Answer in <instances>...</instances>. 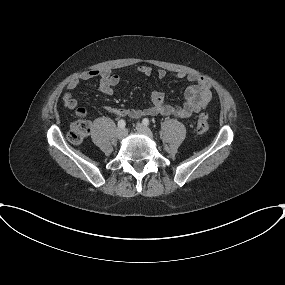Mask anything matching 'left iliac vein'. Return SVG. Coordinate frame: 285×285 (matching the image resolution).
I'll use <instances>...</instances> for the list:
<instances>
[{
    "mask_svg": "<svg viewBox=\"0 0 285 285\" xmlns=\"http://www.w3.org/2000/svg\"><path fill=\"white\" fill-rule=\"evenodd\" d=\"M136 130H137L139 133H141V134H143V135H146V136H148V137H150V138L153 137L151 130H150L147 126H145L144 124H142V123H137V125H136Z\"/></svg>",
    "mask_w": 285,
    "mask_h": 285,
    "instance_id": "4c4485c4",
    "label": "left iliac vein"
}]
</instances>
